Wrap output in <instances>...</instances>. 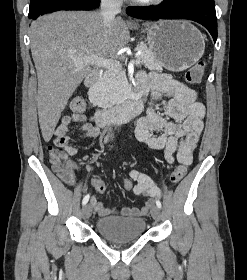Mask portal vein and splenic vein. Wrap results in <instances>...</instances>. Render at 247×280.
I'll list each match as a JSON object with an SVG mask.
<instances>
[{"label":"portal vein and splenic vein","mask_w":247,"mask_h":280,"mask_svg":"<svg viewBox=\"0 0 247 280\" xmlns=\"http://www.w3.org/2000/svg\"><path fill=\"white\" fill-rule=\"evenodd\" d=\"M135 64H140V61L138 59L133 60ZM78 65H95L98 67H104L108 69H116L118 67H121V64L117 61H113L111 59H105L98 56H90V57H84L81 59H78L76 61Z\"/></svg>","instance_id":"portal-vein-and-splenic-vein-1"}]
</instances>
